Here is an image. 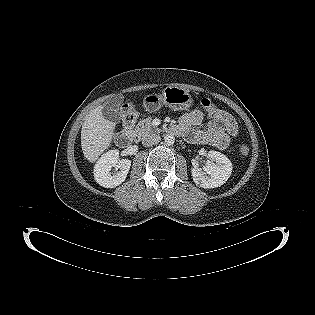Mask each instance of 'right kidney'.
Masks as SVG:
<instances>
[{"instance_id": "1", "label": "right kidney", "mask_w": 315, "mask_h": 315, "mask_svg": "<svg viewBox=\"0 0 315 315\" xmlns=\"http://www.w3.org/2000/svg\"><path fill=\"white\" fill-rule=\"evenodd\" d=\"M130 167V160H120L119 151L110 150L103 154L95 164L94 178L99 185L105 188H114L125 181Z\"/></svg>"}]
</instances>
